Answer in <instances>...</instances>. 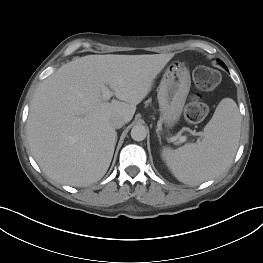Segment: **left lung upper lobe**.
<instances>
[{"label": "left lung upper lobe", "mask_w": 263, "mask_h": 263, "mask_svg": "<svg viewBox=\"0 0 263 263\" xmlns=\"http://www.w3.org/2000/svg\"><path fill=\"white\" fill-rule=\"evenodd\" d=\"M221 64H222V66L226 69V67H225V65L221 62V61H219Z\"/></svg>", "instance_id": "left-lung-upper-lobe-1"}]
</instances>
